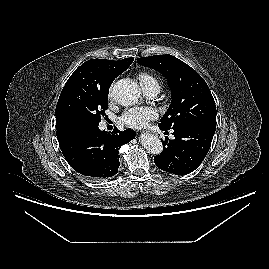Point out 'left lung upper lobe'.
<instances>
[{
  "instance_id": "1",
  "label": "left lung upper lobe",
  "mask_w": 269,
  "mask_h": 269,
  "mask_svg": "<svg viewBox=\"0 0 269 269\" xmlns=\"http://www.w3.org/2000/svg\"><path fill=\"white\" fill-rule=\"evenodd\" d=\"M138 63L161 72L167 79L172 101L162 117V130H177L196 125L216 127V106L203 78L189 65L172 55L137 59Z\"/></svg>"
}]
</instances>
